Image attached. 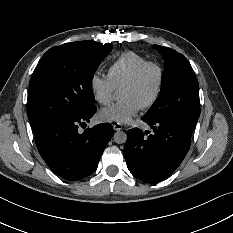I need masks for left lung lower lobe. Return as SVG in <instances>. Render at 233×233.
Listing matches in <instances>:
<instances>
[{"label": "left lung lower lobe", "mask_w": 233, "mask_h": 233, "mask_svg": "<svg viewBox=\"0 0 233 233\" xmlns=\"http://www.w3.org/2000/svg\"><path fill=\"white\" fill-rule=\"evenodd\" d=\"M153 132L128 131L124 156L130 172L139 180L156 183L167 178L183 161L189 147L195 122L146 121Z\"/></svg>", "instance_id": "0a47b994"}]
</instances>
